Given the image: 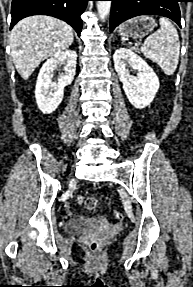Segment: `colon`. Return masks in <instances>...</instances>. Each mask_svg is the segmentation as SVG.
Segmentation results:
<instances>
[{
    "instance_id": "obj_1",
    "label": "colon",
    "mask_w": 193,
    "mask_h": 287,
    "mask_svg": "<svg viewBox=\"0 0 193 287\" xmlns=\"http://www.w3.org/2000/svg\"><path fill=\"white\" fill-rule=\"evenodd\" d=\"M77 202L81 205H84L87 209L89 210H94L97 207V201L93 197H85L83 195H78L77 196ZM113 217L116 220H122L123 219V214L116 210L113 212ZM100 243L98 240H92L90 242V248L92 251H96L99 247Z\"/></svg>"
}]
</instances>
